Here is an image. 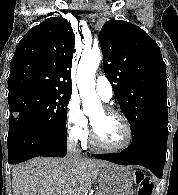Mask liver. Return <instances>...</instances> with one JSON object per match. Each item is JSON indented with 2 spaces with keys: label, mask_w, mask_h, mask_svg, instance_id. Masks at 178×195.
<instances>
[{
  "label": "liver",
  "mask_w": 178,
  "mask_h": 195,
  "mask_svg": "<svg viewBox=\"0 0 178 195\" xmlns=\"http://www.w3.org/2000/svg\"><path fill=\"white\" fill-rule=\"evenodd\" d=\"M108 161L81 158L75 167L68 158L37 157L12 169L14 195H85Z\"/></svg>",
  "instance_id": "obj_1"
}]
</instances>
